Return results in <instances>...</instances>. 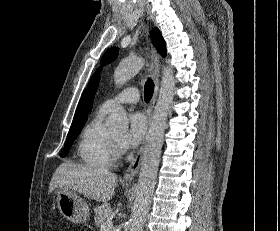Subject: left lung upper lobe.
Masks as SVG:
<instances>
[{
  "label": "left lung upper lobe",
  "instance_id": "1",
  "mask_svg": "<svg viewBox=\"0 0 280 231\" xmlns=\"http://www.w3.org/2000/svg\"><path fill=\"white\" fill-rule=\"evenodd\" d=\"M151 37L153 40V44L155 45V47L157 48L158 52L162 55V56H166V47H165V42L161 36V33L159 32V30L157 28H154L151 32ZM118 56V50L117 48L113 47L108 49L101 61L100 64L101 65H106L109 64L110 62L114 61ZM99 74H100V68L94 73V75L91 77L90 81H89V85H88V99L90 102V106H92V102L96 93V89L98 87V83H99Z\"/></svg>",
  "mask_w": 280,
  "mask_h": 231
}]
</instances>
